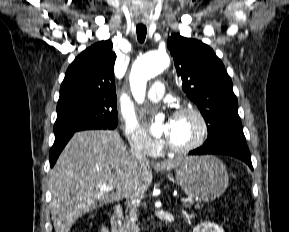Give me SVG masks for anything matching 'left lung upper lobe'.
Listing matches in <instances>:
<instances>
[{
    "instance_id": "obj_1",
    "label": "left lung upper lobe",
    "mask_w": 289,
    "mask_h": 232,
    "mask_svg": "<svg viewBox=\"0 0 289 232\" xmlns=\"http://www.w3.org/2000/svg\"><path fill=\"white\" fill-rule=\"evenodd\" d=\"M182 89L207 122L203 146L243 140L238 102L232 81L214 51L199 40L172 35L167 41Z\"/></svg>"
}]
</instances>
